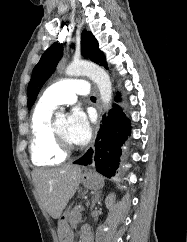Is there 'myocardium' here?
Here are the masks:
<instances>
[{"label": "myocardium", "mask_w": 187, "mask_h": 242, "mask_svg": "<svg viewBox=\"0 0 187 242\" xmlns=\"http://www.w3.org/2000/svg\"><path fill=\"white\" fill-rule=\"evenodd\" d=\"M51 134L54 146L60 153L66 156L73 152L74 147L66 144L61 136L58 134L55 128V122H51Z\"/></svg>", "instance_id": "myocardium-1"}]
</instances>
